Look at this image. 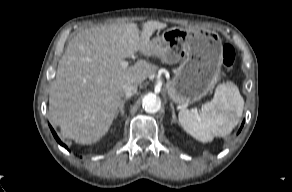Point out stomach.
Wrapping results in <instances>:
<instances>
[{"label": "stomach", "mask_w": 292, "mask_h": 192, "mask_svg": "<svg viewBox=\"0 0 292 192\" xmlns=\"http://www.w3.org/2000/svg\"><path fill=\"white\" fill-rule=\"evenodd\" d=\"M152 44L153 54L163 62H180L166 85L174 103L185 106L200 100L219 80L223 46L217 33L173 27L154 38Z\"/></svg>", "instance_id": "stomach-1"}]
</instances>
